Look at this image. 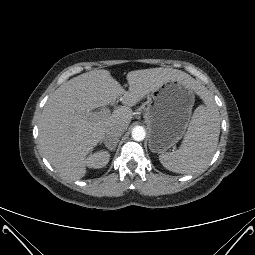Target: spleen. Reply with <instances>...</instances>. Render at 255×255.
I'll return each instance as SVG.
<instances>
[{
  "instance_id": "1",
  "label": "spleen",
  "mask_w": 255,
  "mask_h": 255,
  "mask_svg": "<svg viewBox=\"0 0 255 255\" xmlns=\"http://www.w3.org/2000/svg\"><path fill=\"white\" fill-rule=\"evenodd\" d=\"M205 104L198 106L191 118L179 149L159 156L168 170L191 174L204 169L211 161L219 140L220 118L216 103L208 95Z\"/></svg>"
}]
</instances>
